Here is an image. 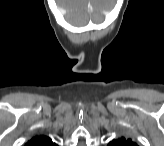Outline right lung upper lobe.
Returning <instances> with one entry per match:
<instances>
[{"label": "right lung upper lobe", "mask_w": 164, "mask_h": 146, "mask_svg": "<svg viewBox=\"0 0 164 146\" xmlns=\"http://www.w3.org/2000/svg\"><path fill=\"white\" fill-rule=\"evenodd\" d=\"M52 140L46 136H35L28 141L26 146H54Z\"/></svg>", "instance_id": "obj_1"}]
</instances>
